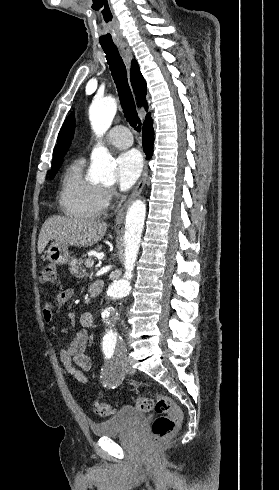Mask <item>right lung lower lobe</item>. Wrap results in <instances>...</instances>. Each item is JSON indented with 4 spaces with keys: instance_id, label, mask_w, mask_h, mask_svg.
Wrapping results in <instances>:
<instances>
[{
    "instance_id": "1",
    "label": "right lung lower lobe",
    "mask_w": 279,
    "mask_h": 490,
    "mask_svg": "<svg viewBox=\"0 0 279 490\" xmlns=\"http://www.w3.org/2000/svg\"><path fill=\"white\" fill-rule=\"evenodd\" d=\"M154 130L151 125H147L143 128V147L146 154V158L150 159L153 153V143H154Z\"/></svg>"
}]
</instances>
